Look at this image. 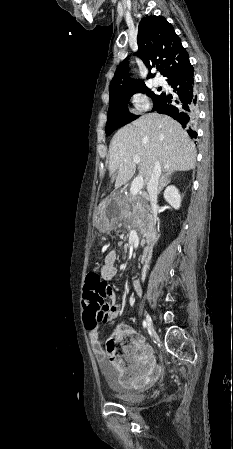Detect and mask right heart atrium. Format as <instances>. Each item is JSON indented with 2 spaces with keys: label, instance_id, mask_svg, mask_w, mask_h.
<instances>
[{
  "label": "right heart atrium",
  "instance_id": "d8ad5b80",
  "mask_svg": "<svg viewBox=\"0 0 233 449\" xmlns=\"http://www.w3.org/2000/svg\"><path fill=\"white\" fill-rule=\"evenodd\" d=\"M130 101L132 111L135 115H140L147 112L151 106L148 96L140 90H135L131 93Z\"/></svg>",
  "mask_w": 233,
  "mask_h": 449
}]
</instances>
